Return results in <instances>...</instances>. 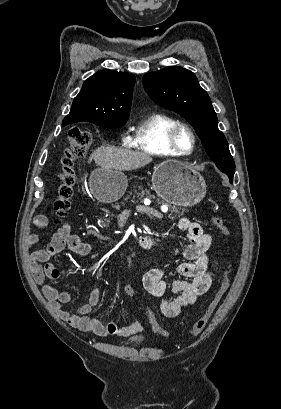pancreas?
Here are the masks:
<instances>
[{"instance_id":"pancreas-1","label":"pancreas","mask_w":281,"mask_h":409,"mask_svg":"<svg viewBox=\"0 0 281 409\" xmlns=\"http://www.w3.org/2000/svg\"><path fill=\"white\" fill-rule=\"evenodd\" d=\"M130 194L133 198H139V200H143V198H154V194H151L150 190L143 188V186H138V190H134V192H130ZM172 213H174V217H172ZM180 215H183V213H180L179 209L171 207V215H168V219H178Z\"/></svg>"}]
</instances>
